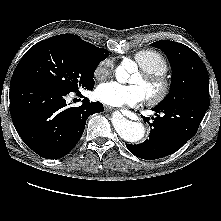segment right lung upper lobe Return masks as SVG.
Listing matches in <instances>:
<instances>
[{"mask_svg": "<svg viewBox=\"0 0 221 221\" xmlns=\"http://www.w3.org/2000/svg\"><path fill=\"white\" fill-rule=\"evenodd\" d=\"M67 38L72 39L73 41L78 42L79 44H81L83 47H85L87 50H89L90 52H92L94 55L106 59L109 56V51L103 48H98L95 45L88 43L86 41H83L79 36L77 35H73V34H62Z\"/></svg>", "mask_w": 221, "mask_h": 221, "instance_id": "cb5924a9", "label": "right lung upper lobe"}]
</instances>
